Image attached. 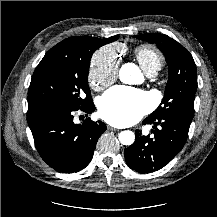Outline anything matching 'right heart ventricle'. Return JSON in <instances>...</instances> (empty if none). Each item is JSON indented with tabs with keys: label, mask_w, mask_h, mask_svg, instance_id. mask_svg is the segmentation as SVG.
Wrapping results in <instances>:
<instances>
[{
	"label": "right heart ventricle",
	"mask_w": 217,
	"mask_h": 217,
	"mask_svg": "<svg viewBox=\"0 0 217 217\" xmlns=\"http://www.w3.org/2000/svg\"><path fill=\"white\" fill-rule=\"evenodd\" d=\"M134 57L147 74L160 70L164 62L160 52L150 45H140L135 48Z\"/></svg>",
	"instance_id": "obj_1"
}]
</instances>
